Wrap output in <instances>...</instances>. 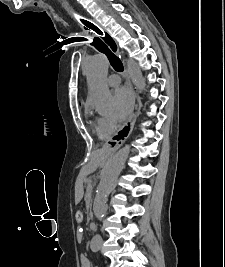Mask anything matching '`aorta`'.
<instances>
[{"mask_svg": "<svg viewBox=\"0 0 225 267\" xmlns=\"http://www.w3.org/2000/svg\"><path fill=\"white\" fill-rule=\"evenodd\" d=\"M127 67L133 84L139 91H144L146 85L142 72L136 62L131 59L128 60ZM85 68L90 90L89 103L97 111L104 113L108 111L113 104V98L106 82L109 62L104 55L98 54L87 60ZM130 149V146L126 145L116 152L101 173L100 182L93 203L94 214L99 220H102L106 213V201L115 187L117 178L129 156ZM101 244V236L96 235L90 243V248L93 251H96L100 248Z\"/></svg>", "mask_w": 225, "mask_h": 267, "instance_id": "1", "label": "aorta"}]
</instances>
